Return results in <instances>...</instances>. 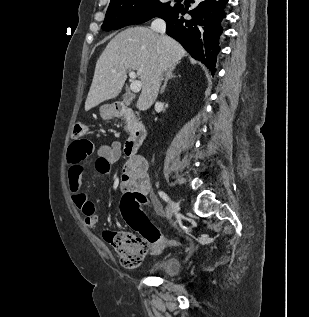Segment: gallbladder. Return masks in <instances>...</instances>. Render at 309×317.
Returning a JSON list of instances; mask_svg holds the SVG:
<instances>
[{
  "instance_id": "obj_1",
  "label": "gallbladder",
  "mask_w": 309,
  "mask_h": 317,
  "mask_svg": "<svg viewBox=\"0 0 309 317\" xmlns=\"http://www.w3.org/2000/svg\"><path fill=\"white\" fill-rule=\"evenodd\" d=\"M130 101H131L130 96L127 95V94H125V95L123 96V102H124L125 104H129Z\"/></svg>"
}]
</instances>
